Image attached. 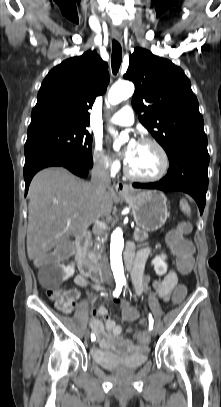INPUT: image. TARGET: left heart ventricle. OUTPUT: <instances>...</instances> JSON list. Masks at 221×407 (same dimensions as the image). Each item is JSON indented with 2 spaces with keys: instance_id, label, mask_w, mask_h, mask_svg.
Returning <instances> with one entry per match:
<instances>
[{
  "instance_id": "1",
  "label": "left heart ventricle",
  "mask_w": 221,
  "mask_h": 407,
  "mask_svg": "<svg viewBox=\"0 0 221 407\" xmlns=\"http://www.w3.org/2000/svg\"><path fill=\"white\" fill-rule=\"evenodd\" d=\"M127 163L133 172L142 176L158 174L163 165L159 151L150 144L141 143H137Z\"/></svg>"
}]
</instances>
